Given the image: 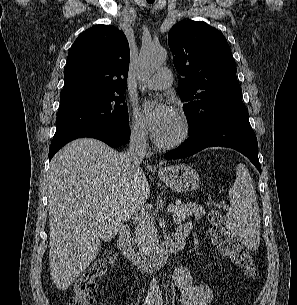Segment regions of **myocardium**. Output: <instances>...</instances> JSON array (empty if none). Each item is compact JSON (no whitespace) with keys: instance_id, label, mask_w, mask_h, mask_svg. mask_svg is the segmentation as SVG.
<instances>
[{"instance_id":"1","label":"myocardium","mask_w":297,"mask_h":305,"mask_svg":"<svg viewBox=\"0 0 297 305\" xmlns=\"http://www.w3.org/2000/svg\"><path fill=\"white\" fill-rule=\"evenodd\" d=\"M176 118L180 127L178 134L173 139L168 141H161L155 138L154 142L158 148L163 150L174 149L182 145L189 138L191 125L188 118L181 112L177 113Z\"/></svg>"}]
</instances>
